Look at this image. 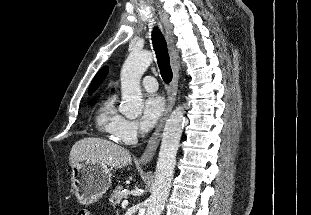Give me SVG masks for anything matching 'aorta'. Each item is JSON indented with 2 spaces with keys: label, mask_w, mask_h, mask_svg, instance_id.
<instances>
[{
  "label": "aorta",
  "mask_w": 311,
  "mask_h": 215,
  "mask_svg": "<svg viewBox=\"0 0 311 215\" xmlns=\"http://www.w3.org/2000/svg\"><path fill=\"white\" fill-rule=\"evenodd\" d=\"M152 60L153 56L149 51H132L122 66L120 112L129 119H134L142 113L144 103L140 80ZM183 124L184 109L182 106H178L172 111L165 123L146 215H161L162 213L171 188Z\"/></svg>",
  "instance_id": "obj_1"
}]
</instances>
